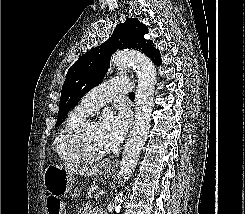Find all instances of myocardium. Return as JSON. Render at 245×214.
<instances>
[{
  "instance_id": "myocardium-1",
  "label": "myocardium",
  "mask_w": 245,
  "mask_h": 214,
  "mask_svg": "<svg viewBox=\"0 0 245 214\" xmlns=\"http://www.w3.org/2000/svg\"><path fill=\"white\" fill-rule=\"evenodd\" d=\"M92 124H95L94 121L85 119L73 130L69 138V148L80 161L95 162L103 159L106 156V152L100 154H90L84 147V133L86 129Z\"/></svg>"
}]
</instances>
